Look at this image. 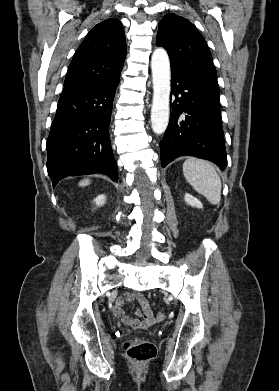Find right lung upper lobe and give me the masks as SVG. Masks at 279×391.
<instances>
[{
	"instance_id": "obj_1",
	"label": "right lung upper lobe",
	"mask_w": 279,
	"mask_h": 391,
	"mask_svg": "<svg viewBox=\"0 0 279 391\" xmlns=\"http://www.w3.org/2000/svg\"><path fill=\"white\" fill-rule=\"evenodd\" d=\"M125 57L122 23L110 18L97 24L74 54L61 96L89 90L119 77Z\"/></svg>"
}]
</instances>
